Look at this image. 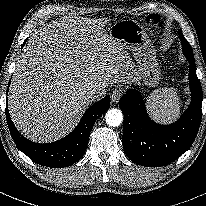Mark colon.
<instances>
[{
  "mask_svg": "<svg viewBox=\"0 0 206 206\" xmlns=\"http://www.w3.org/2000/svg\"><path fill=\"white\" fill-rule=\"evenodd\" d=\"M146 23L150 26H155L158 29H163L165 22L163 21V19L158 16V15H150L146 18Z\"/></svg>",
  "mask_w": 206,
  "mask_h": 206,
  "instance_id": "1",
  "label": "colon"
}]
</instances>
